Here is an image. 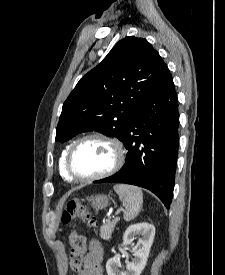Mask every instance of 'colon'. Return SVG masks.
I'll use <instances>...</instances> for the list:
<instances>
[{
  "label": "colon",
  "mask_w": 225,
  "mask_h": 275,
  "mask_svg": "<svg viewBox=\"0 0 225 275\" xmlns=\"http://www.w3.org/2000/svg\"><path fill=\"white\" fill-rule=\"evenodd\" d=\"M75 219H81L90 228L94 225V218L86 210L85 206L78 200H70L62 212L61 222L68 224ZM69 245L71 247L69 266L74 271H80L83 265V254L85 251L83 236L76 231H72L69 234Z\"/></svg>",
  "instance_id": "5ec220e1"
}]
</instances>
